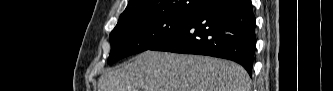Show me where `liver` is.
<instances>
[{"label":"liver","instance_id":"obj_1","mask_svg":"<svg viewBox=\"0 0 333 91\" xmlns=\"http://www.w3.org/2000/svg\"><path fill=\"white\" fill-rule=\"evenodd\" d=\"M246 70L205 56L145 51L105 72L98 91H250Z\"/></svg>","mask_w":333,"mask_h":91}]
</instances>
